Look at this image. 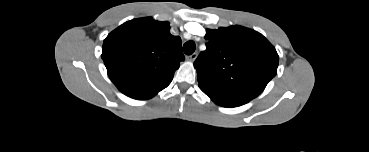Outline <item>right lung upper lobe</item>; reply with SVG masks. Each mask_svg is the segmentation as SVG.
I'll return each instance as SVG.
<instances>
[{"label":"right lung upper lobe","instance_id":"cb5924a9","mask_svg":"<svg viewBox=\"0 0 369 152\" xmlns=\"http://www.w3.org/2000/svg\"><path fill=\"white\" fill-rule=\"evenodd\" d=\"M102 59L116 87L143 100L166 88L185 58L181 39L170 34L169 23L146 17L112 31L104 40Z\"/></svg>","mask_w":369,"mask_h":152}]
</instances>
